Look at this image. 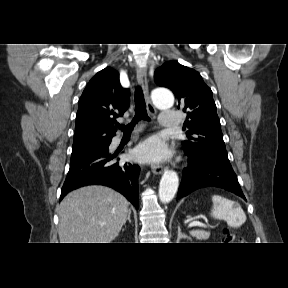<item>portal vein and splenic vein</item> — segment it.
<instances>
[{
    "instance_id": "obj_1",
    "label": "portal vein and splenic vein",
    "mask_w": 288,
    "mask_h": 288,
    "mask_svg": "<svg viewBox=\"0 0 288 288\" xmlns=\"http://www.w3.org/2000/svg\"><path fill=\"white\" fill-rule=\"evenodd\" d=\"M189 227H204V228H206L207 226L201 222L194 221V222L189 224Z\"/></svg>"
}]
</instances>
